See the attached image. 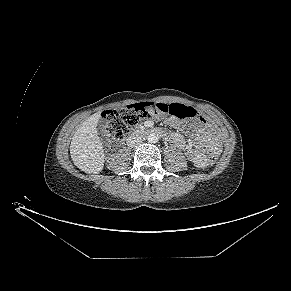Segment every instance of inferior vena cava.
<instances>
[{
    "label": "inferior vena cava",
    "mask_w": 291,
    "mask_h": 291,
    "mask_svg": "<svg viewBox=\"0 0 291 291\" xmlns=\"http://www.w3.org/2000/svg\"><path fill=\"white\" fill-rule=\"evenodd\" d=\"M141 143H142V139L138 136L132 135V136L128 137V139H127V145L129 147H135V146L140 145Z\"/></svg>",
    "instance_id": "obj_1"
}]
</instances>
